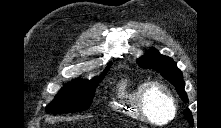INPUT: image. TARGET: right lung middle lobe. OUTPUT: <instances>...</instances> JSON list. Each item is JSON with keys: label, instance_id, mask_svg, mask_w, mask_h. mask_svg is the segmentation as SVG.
Instances as JSON below:
<instances>
[{"label": "right lung middle lobe", "instance_id": "1", "mask_svg": "<svg viewBox=\"0 0 221 128\" xmlns=\"http://www.w3.org/2000/svg\"><path fill=\"white\" fill-rule=\"evenodd\" d=\"M111 63L108 64L105 71L92 80L76 79L65 85L56 95L51 104L46 106V112L53 113H73L87 110L94 98L95 90L101 82Z\"/></svg>", "mask_w": 221, "mask_h": 128}]
</instances>
